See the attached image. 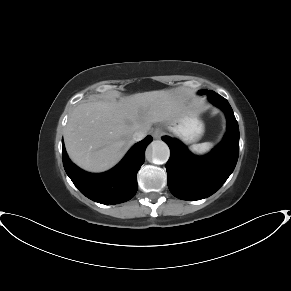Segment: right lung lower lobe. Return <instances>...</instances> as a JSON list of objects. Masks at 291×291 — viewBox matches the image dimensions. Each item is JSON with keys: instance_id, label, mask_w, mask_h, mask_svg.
I'll return each instance as SVG.
<instances>
[{"instance_id": "1", "label": "right lung lower lobe", "mask_w": 291, "mask_h": 291, "mask_svg": "<svg viewBox=\"0 0 291 291\" xmlns=\"http://www.w3.org/2000/svg\"><path fill=\"white\" fill-rule=\"evenodd\" d=\"M147 136L136 143L113 169L92 174L73 164L65 151L62 141L63 165L74 185L89 199L102 204H118L130 200L137 192V172L144 163L145 150L152 141Z\"/></svg>"}]
</instances>
